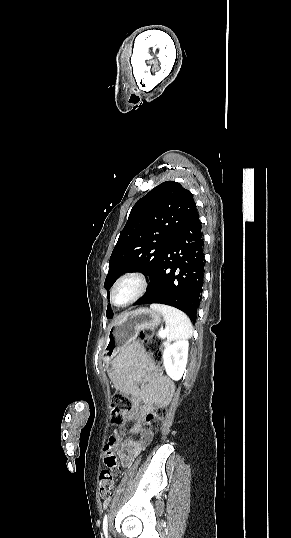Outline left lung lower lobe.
<instances>
[{
	"mask_svg": "<svg viewBox=\"0 0 291 538\" xmlns=\"http://www.w3.org/2000/svg\"><path fill=\"white\" fill-rule=\"evenodd\" d=\"M201 222L196 213L177 233L159 260L146 293L134 305L165 304L184 311L195 323L204 285Z\"/></svg>",
	"mask_w": 291,
	"mask_h": 538,
	"instance_id": "left-lung-lower-lobe-1",
	"label": "left lung lower lobe"
}]
</instances>
